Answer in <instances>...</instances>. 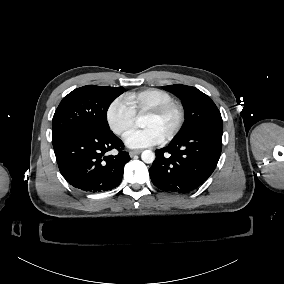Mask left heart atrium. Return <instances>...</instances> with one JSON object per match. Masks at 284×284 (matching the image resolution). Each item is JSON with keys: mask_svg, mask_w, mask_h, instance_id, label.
<instances>
[{"mask_svg": "<svg viewBox=\"0 0 284 284\" xmlns=\"http://www.w3.org/2000/svg\"><path fill=\"white\" fill-rule=\"evenodd\" d=\"M123 140L132 149L151 147L162 142L161 136L152 128L132 129L124 135Z\"/></svg>", "mask_w": 284, "mask_h": 284, "instance_id": "left-heart-atrium-1", "label": "left heart atrium"}]
</instances>
